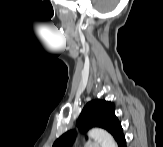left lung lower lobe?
I'll list each match as a JSON object with an SVG mask.
<instances>
[{
    "instance_id": "left-lung-lower-lobe-1",
    "label": "left lung lower lobe",
    "mask_w": 163,
    "mask_h": 147,
    "mask_svg": "<svg viewBox=\"0 0 163 147\" xmlns=\"http://www.w3.org/2000/svg\"><path fill=\"white\" fill-rule=\"evenodd\" d=\"M116 142L118 144V147H126V140L123 131L117 137Z\"/></svg>"
}]
</instances>
